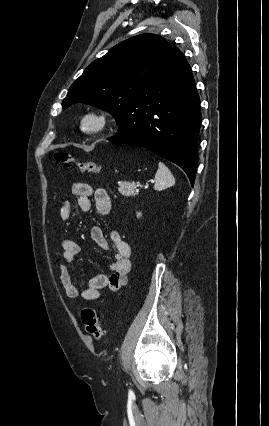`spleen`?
<instances>
[{
    "label": "spleen",
    "mask_w": 269,
    "mask_h": 426,
    "mask_svg": "<svg viewBox=\"0 0 269 426\" xmlns=\"http://www.w3.org/2000/svg\"><path fill=\"white\" fill-rule=\"evenodd\" d=\"M175 184V178L170 170L162 163L159 162L158 170L155 174L154 189L157 191L164 190Z\"/></svg>",
    "instance_id": "1"
}]
</instances>
